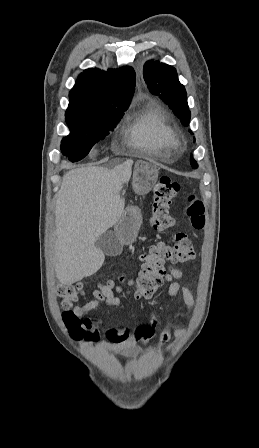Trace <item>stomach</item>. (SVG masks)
Wrapping results in <instances>:
<instances>
[{
  "label": "stomach",
  "mask_w": 259,
  "mask_h": 448,
  "mask_svg": "<svg viewBox=\"0 0 259 448\" xmlns=\"http://www.w3.org/2000/svg\"><path fill=\"white\" fill-rule=\"evenodd\" d=\"M142 220L141 209L138 206H125L119 222L115 224V234L123 244L135 242Z\"/></svg>",
  "instance_id": "0dacf381"
}]
</instances>
